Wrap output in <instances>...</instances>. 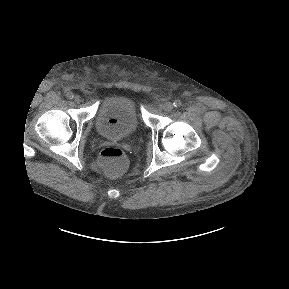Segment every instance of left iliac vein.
Here are the masks:
<instances>
[{"label": "left iliac vein", "mask_w": 289, "mask_h": 289, "mask_svg": "<svg viewBox=\"0 0 289 289\" xmlns=\"http://www.w3.org/2000/svg\"><path fill=\"white\" fill-rule=\"evenodd\" d=\"M162 109L166 112H170L173 109V104L171 102H165Z\"/></svg>", "instance_id": "left-iliac-vein-1"}]
</instances>
